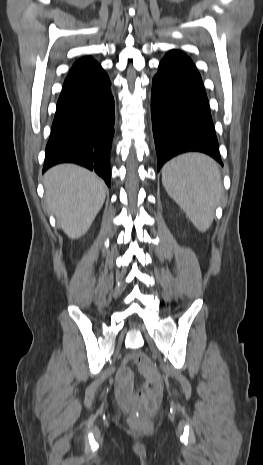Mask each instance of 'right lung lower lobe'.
<instances>
[{
  "instance_id": "right-lung-lower-lobe-1",
  "label": "right lung lower lobe",
  "mask_w": 263,
  "mask_h": 465,
  "mask_svg": "<svg viewBox=\"0 0 263 465\" xmlns=\"http://www.w3.org/2000/svg\"><path fill=\"white\" fill-rule=\"evenodd\" d=\"M103 68L70 73L57 102L43 167L71 162L94 170L110 185L114 98Z\"/></svg>"
}]
</instances>
